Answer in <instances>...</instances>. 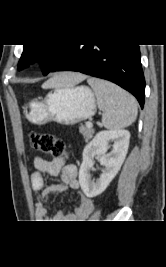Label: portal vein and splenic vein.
Instances as JSON below:
<instances>
[{
  "mask_svg": "<svg viewBox=\"0 0 166 267\" xmlns=\"http://www.w3.org/2000/svg\"><path fill=\"white\" fill-rule=\"evenodd\" d=\"M86 126H87L88 128H92L93 124H92V122L89 121V122L86 123Z\"/></svg>",
  "mask_w": 166,
  "mask_h": 267,
  "instance_id": "18ae733b",
  "label": "portal vein and splenic vein"
}]
</instances>
